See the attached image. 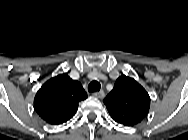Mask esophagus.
Masks as SVG:
<instances>
[{"mask_svg":"<svg viewBox=\"0 0 188 140\" xmlns=\"http://www.w3.org/2000/svg\"><path fill=\"white\" fill-rule=\"evenodd\" d=\"M93 96L96 97V98L102 99V98H104L105 93H104L103 90H101V91H96V92L93 93Z\"/></svg>","mask_w":188,"mask_h":140,"instance_id":"esophagus-1","label":"esophagus"}]
</instances>
